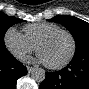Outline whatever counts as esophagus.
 Instances as JSON below:
<instances>
[{
    "instance_id": "1",
    "label": "esophagus",
    "mask_w": 89,
    "mask_h": 89,
    "mask_svg": "<svg viewBox=\"0 0 89 89\" xmlns=\"http://www.w3.org/2000/svg\"><path fill=\"white\" fill-rule=\"evenodd\" d=\"M34 70H35L34 67L27 66V71H28V73H31V72H33Z\"/></svg>"
}]
</instances>
